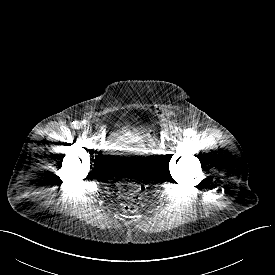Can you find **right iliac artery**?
<instances>
[{
  "mask_svg": "<svg viewBox=\"0 0 275 275\" xmlns=\"http://www.w3.org/2000/svg\"><path fill=\"white\" fill-rule=\"evenodd\" d=\"M73 127L76 129H79L81 127V123H79L78 121L73 122Z\"/></svg>",
  "mask_w": 275,
  "mask_h": 275,
  "instance_id": "82829eb1",
  "label": "right iliac artery"
}]
</instances>
